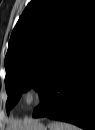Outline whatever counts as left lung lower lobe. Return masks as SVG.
Here are the masks:
<instances>
[{
	"label": "left lung lower lobe",
	"mask_w": 95,
	"mask_h": 130,
	"mask_svg": "<svg viewBox=\"0 0 95 130\" xmlns=\"http://www.w3.org/2000/svg\"><path fill=\"white\" fill-rule=\"evenodd\" d=\"M33 117L95 129V13L86 19L55 66Z\"/></svg>",
	"instance_id": "left-lung-lower-lobe-1"
}]
</instances>
